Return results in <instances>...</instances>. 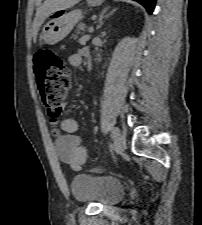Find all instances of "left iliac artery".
<instances>
[{
  "label": "left iliac artery",
  "instance_id": "obj_1",
  "mask_svg": "<svg viewBox=\"0 0 202 225\" xmlns=\"http://www.w3.org/2000/svg\"><path fill=\"white\" fill-rule=\"evenodd\" d=\"M111 131H112V134H113L114 137H117V136L119 135V130H118V128L113 127V128L111 129Z\"/></svg>",
  "mask_w": 202,
  "mask_h": 225
}]
</instances>
